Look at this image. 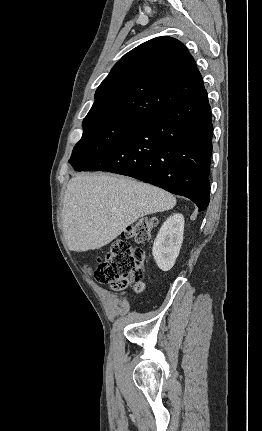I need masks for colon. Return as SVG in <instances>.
<instances>
[{
	"label": "colon",
	"mask_w": 262,
	"mask_h": 431,
	"mask_svg": "<svg viewBox=\"0 0 262 431\" xmlns=\"http://www.w3.org/2000/svg\"><path fill=\"white\" fill-rule=\"evenodd\" d=\"M157 225L158 220L154 216L141 219L112 243L105 255L98 259L95 270L88 265H85V270L92 274L99 284L115 291L126 288L139 291L145 272L144 254L135 244L148 241Z\"/></svg>",
	"instance_id": "5ec220e1"
}]
</instances>
